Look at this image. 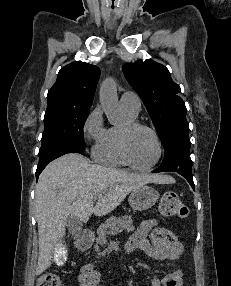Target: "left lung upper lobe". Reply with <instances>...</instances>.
I'll use <instances>...</instances> for the list:
<instances>
[{
    "mask_svg": "<svg viewBox=\"0 0 231 286\" xmlns=\"http://www.w3.org/2000/svg\"><path fill=\"white\" fill-rule=\"evenodd\" d=\"M124 75L142 99L157 133L165 145L172 137L188 134L185 103L178 96L179 85L168 69L152 60L123 65Z\"/></svg>",
    "mask_w": 231,
    "mask_h": 286,
    "instance_id": "1",
    "label": "left lung upper lobe"
}]
</instances>
